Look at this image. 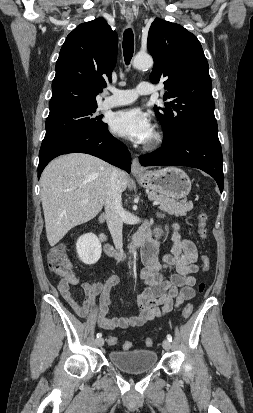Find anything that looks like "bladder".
Instances as JSON below:
<instances>
[{"label": "bladder", "mask_w": 253, "mask_h": 413, "mask_svg": "<svg viewBox=\"0 0 253 413\" xmlns=\"http://www.w3.org/2000/svg\"><path fill=\"white\" fill-rule=\"evenodd\" d=\"M110 363L119 370L139 374L152 370L157 364V353L152 349L113 350Z\"/></svg>", "instance_id": "obj_1"}]
</instances>
